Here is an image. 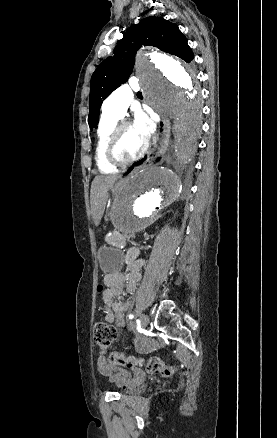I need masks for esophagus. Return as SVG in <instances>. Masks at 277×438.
Returning a JSON list of instances; mask_svg holds the SVG:
<instances>
[{
    "label": "esophagus",
    "mask_w": 277,
    "mask_h": 438,
    "mask_svg": "<svg viewBox=\"0 0 277 438\" xmlns=\"http://www.w3.org/2000/svg\"><path fill=\"white\" fill-rule=\"evenodd\" d=\"M171 122L166 117H161L158 123V149L160 153H165L169 145Z\"/></svg>",
    "instance_id": "obj_1"
}]
</instances>
